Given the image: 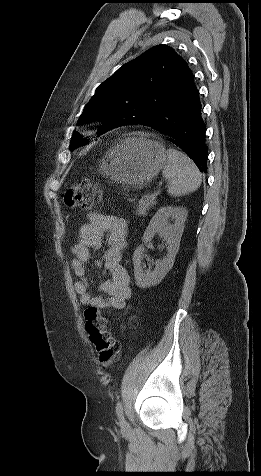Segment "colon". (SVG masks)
Here are the masks:
<instances>
[{"instance_id": "colon-1", "label": "colon", "mask_w": 261, "mask_h": 476, "mask_svg": "<svg viewBox=\"0 0 261 476\" xmlns=\"http://www.w3.org/2000/svg\"><path fill=\"white\" fill-rule=\"evenodd\" d=\"M63 202L71 208L94 209L102 202V191L97 184L83 179L63 193ZM84 316L87 335L96 349L100 363L109 367L119 357V343L107 331L106 320L97 308L88 307Z\"/></svg>"}]
</instances>
